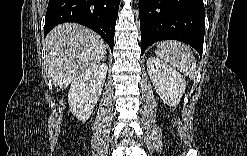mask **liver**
Segmentation results:
<instances>
[{"label":"liver","mask_w":247,"mask_h":156,"mask_svg":"<svg viewBox=\"0 0 247 156\" xmlns=\"http://www.w3.org/2000/svg\"><path fill=\"white\" fill-rule=\"evenodd\" d=\"M44 45L48 73L62 90L107 53V45L97 33L75 23L56 26Z\"/></svg>","instance_id":"1"}]
</instances>
